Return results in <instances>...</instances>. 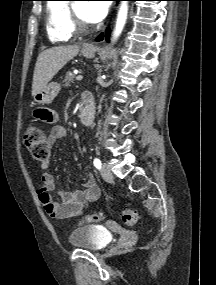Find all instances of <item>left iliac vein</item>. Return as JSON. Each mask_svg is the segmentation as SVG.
<instances>
[{"mask_svg": "<svg viewBox=\"0 0 216 285\" xmlns=\"http://www.w3.org/2000/svg\"><path fill=\"white\" fill-rule=\"evenodd\" d=\"M100 173L105 181L111 182L113 180V174L107 164L102 165Z\"/></svg>", "mask_w": 216, "mask_h": 285, "instance_id": "1", "label": "left iliac vein"}]
</instances>
